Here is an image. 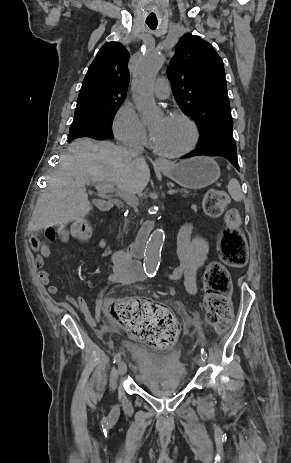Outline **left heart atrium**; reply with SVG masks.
Returning <instances> with one entry per match:
<instances>
[{
	"mask_svg": "<svg viewBox=\"0 0 291 463\" xmlns=\"http://www.w3.org/2000/svg\"><path fill=\"white\" fill-rule=\"evenodd\" d=\"M169 121V118L168 117H165L163 118L160 122H158L156 125H154L152 128H151V136L154 139H156L158 137V135L160 134V132L163 130V128L165 127V125L168 123Z\"/></svg>",
	"mask_w": 291,
	"mask_h": 463,
	"instance_id": "39dd6f15",
	"label": "left heart atrium"
}]
</instances>
